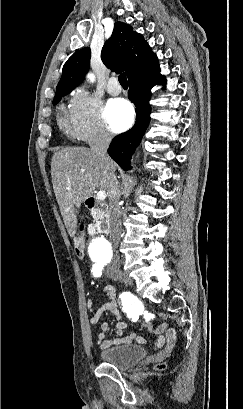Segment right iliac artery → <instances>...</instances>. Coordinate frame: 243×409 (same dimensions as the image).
<instances>
[{
    "label": "right iliac artery",
    "mask_w": 243,
    "mask_h": 409,
    "mask_svg": "<svg viewBox=\"0 0 243 409\" xmlns=\"http://www.w3.org/2000/svg\"><path fill=\"white\" fill-rule=\"evenodd\" d=\"M92 274L94 275V277H100L102 274V269L101 268H93L92 269ZM122 301L124 304V307L126 308V311H128V301L127 298L123 295L122 297Z\"/></svg>",
    "instance_id": "obj_1"
}]
</instances>
